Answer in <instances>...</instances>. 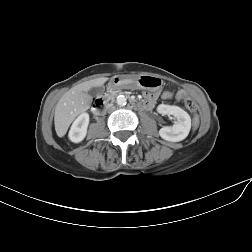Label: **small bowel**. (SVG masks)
<instances>
[{"mask_svg": "<svg viewBox=\"0 0 252 252\" xmlns=\"http://www.w3.org/2000/svg\"><path fill=\"white\" fill-rule=\"evenodd\" d=\"M178 93H180L182 96L186 97V93L184 91H180ZM146 97H147V101L144 102L145 109H151V108H153V106L155 104V100L157 98V94L156 93H154V94H147Z\"/></svg>", "mask_w": 252, "mask_h": 252, "instance_id": "1", "label": "small bowel"}]
</instances>
